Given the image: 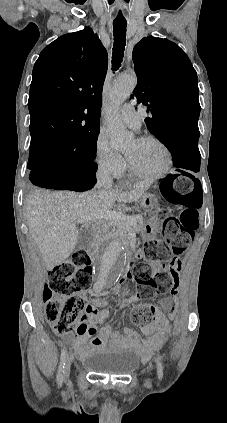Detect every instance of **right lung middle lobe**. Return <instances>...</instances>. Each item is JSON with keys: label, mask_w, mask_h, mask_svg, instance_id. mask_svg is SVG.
Returning <instances> with one entry per match:
<instances>
[{"label": "right lung middle lobe", "mask_w": 227, "mask_h": 423, "mask_svg": "<svg viewBox=\"0 0 227 423\" xmlns=\"http://www.w3.org/2000/svg\"><path fill=\"white\" fill-rule=\"evenodd\" d=\"M98 134L99 132L93 133L76 145L68 148L30 153L27 168L31 170L40 167L50 158H60L69 161L84 162L85 164H93L96 156Z\"/></svg>", "instance_id": "obj_1"}]
</instances>
